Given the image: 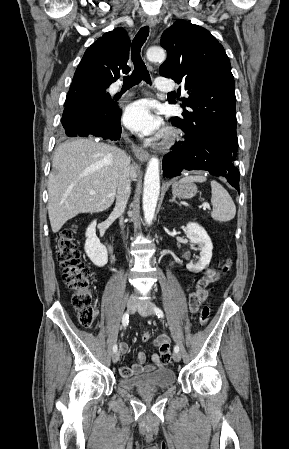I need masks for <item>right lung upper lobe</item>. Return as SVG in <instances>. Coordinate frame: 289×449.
<instances>
[{"mask_svg": "<svg viewBox=\"0 0 289 449\" xmlns=\"http://www.w3.org/2000/svg\"><path fill=\"white\" fill-rule=\"evenodd\" d=\"M130 40L123 28L106 32L85 51L73 80L90 82L99 90L109 87L120 73L130 71Z\"/></svg>", "mask_w": 289, "mask_h": 449, "instance_id": "right-lung-upper-lobe-1", "label": "right lung upper lobe"}]
</instances>
